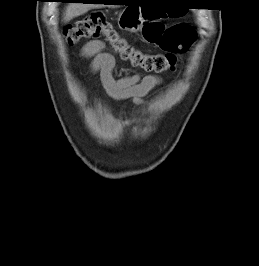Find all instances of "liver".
<instances>
[{
  "label": "liver",
  "mask_w": 259,
  "mask_h": 266,
  "mask_svg": "<svg viewBox=\"0 0 259 266\" xmlns=\"http://www.w3.org/2000/svg\"><path fill=\"white\" fill-rule=\"evenodd\" d=\"M93 4H83V3H70L66 6L63 13V21L69 22L75 17L85 14L89 9L94 8Z\"/></svg>",
  "instance_id": "liver-1"
}]
</instances>
